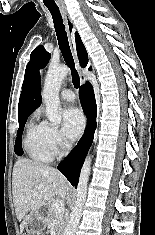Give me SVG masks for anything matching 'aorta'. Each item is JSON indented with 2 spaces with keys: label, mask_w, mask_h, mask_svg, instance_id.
<instances>
[{
  "label": "aorta",
  "mask_w": 155,
  "mask_h": 235,
  "mask_svg": "<svg viewBox=\"0 0 155 235\" xmlns=\"http://www.w3.org/2000/svg\"><path fill=\"white\" fill-rule=\"evenodd\" d=\"M68 73L69 68L65 65L50 66L45 78L42 99L46 106V116L55 125L61 122V116L59 114V89ZM90 171L91 157L87 156L80 173L75 206L72 209L70 220L66 225L63 235H74L75 229L80 222L82 209L87 197Z\"/></svg>",
  "instance_id": "aorta-1"
}]
</instances>
